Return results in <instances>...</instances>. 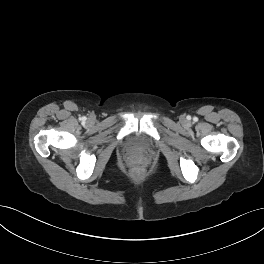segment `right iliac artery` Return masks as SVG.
Listing matches in <instances>:
<instances>
[{
  "instance_id": "82829eb1",
  "label": "right iliac artery",
  "mask_w": 264,
  "mask_h": 264,
  "mask_svg": "<svg viewBox=\"0 0 264 264\" xmlns=\"http://www.w3.org/2000/svg\"><path fill=\"white\" fill-rule=\"evenodd\" d=\"M85 120H86V117H83V118H82V121H85Z\"/></svg>"
}]
</instances>
